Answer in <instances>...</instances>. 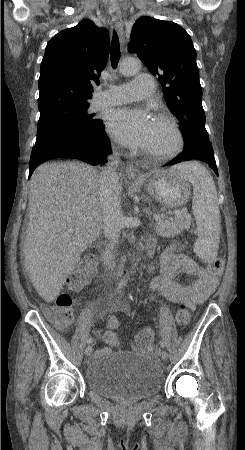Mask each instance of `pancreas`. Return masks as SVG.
Returning <instances> with one entry per match:
<instances>
[{
    "instance_id": "cf45deb5",
    "label": "pancreas",
    "mask_w": 245,
    "mask_h": 450,
    "mask_svg": "<svg viewBox=\"0 0 245 450\" xmlns=\"http://www.w3.org/2000/svg\"><path fill=\"white\" fill-rule=\"evenodd\" d=\"M191 216L187 213L176 215L171 218H162L156 221L155 228L157 234L163 237H173L179 235L183 230L189 229Z\"/></svg>"
}]
</instances>
